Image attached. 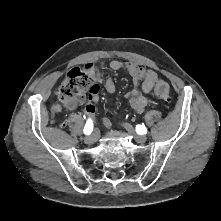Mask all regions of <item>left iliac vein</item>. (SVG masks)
Returning <instances> with one entry per match:
<instances>
[{"label": "left iliac vein", "instance_id": "1", "mask_svg": "<svg viewBox=\"0 0 221 221\" xmlns=\"http://www.w3.org/2000/svg\"><path fill=\"white\" fill-rule=\"evenodd\" d=\"M123 126L130 134L133 135V137H134V139H135V141L137 143H144V142H146L147 137L144 136V135H140V134L136 133L135 129L131 125L123 124Z\"/></svg>", "mask_w": 221, "mask_h": 221}]
</instances>
